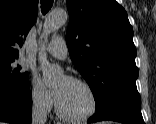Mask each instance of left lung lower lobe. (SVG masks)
Wrapping results in <instances>:
<instances>
[{
    "mask_svg": "<svg viewBox=\"0 0 156 124\" xmlns=\"http://www.w3.org/2000/svg\"><path fill=\"white\" fill-rule=\"evenodd\" d=\"M104 120L124 124H145L141 114V107L125 102H114L104 106L89 118L88 123Z\"/></svg>",
    "mask_w": 156,
    "mask_h": 124,
    "instance_id": "left-lung-lower-lobe-1",
    "label": "left lung lower lobe"
}]
</instances>
